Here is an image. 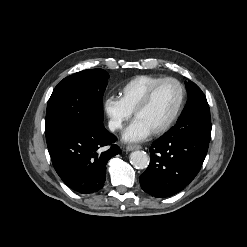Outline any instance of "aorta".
Returning <instances> with one entry per match:
<instances>
[{
  "mask_svg": "<svg viewBox=\"0 0 247 247\" xmlns=\"http://www.w3.org/2000/svg\"><path fill=\"white\" fill-rule=\"evenodd\" d=\"M149 157L144 151H133L130 154V162L137 169H145L149 165Z\"/></svg>",
  "mask_w": 247,
  "mask_h": 247,
  "instance_id": "obj_1",
  "label": "aorta"
}]
</instances>
